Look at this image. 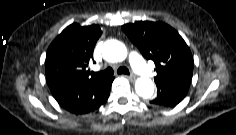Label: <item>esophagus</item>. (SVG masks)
<instances>
[{
  "label": "esophagus",
  "mask_w": 236,
  "mask_h": 135,
  "mask_svg": "<svg viewBox=\"0 0 236 135\" xmlns=\"http://www.w3.org/2000/svg\"><path fill=\"white\" fill-rule=\"evenodd\" d=\"M123 77H126L129 81L134 82L135 77L134 76H127V75H122Z\"/></svg>",
  "instance_id": "esophagus-1"
}]
</instances>
